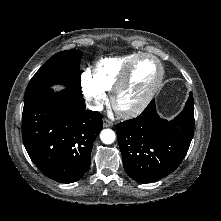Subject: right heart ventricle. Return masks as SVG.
I'll return each mask as SVG.
<instances>
[{
	"label": "right heart ventricle",
	"mask_w": 221,
	"mask_h": 221,
	"mask_svg": "<svg viewBox=\"0 0 221 221\" xmlns=\"http://www.w3.org/2000/svg\"><path fill=\"white\" fill-rule=\"evenodd\" d=\"M139 54L141 53H130L99 60L93 69L95 81L105 91L112 90L124 69Z\"/></svg>",
	"instance_id": "right-heart-ventricle-1"
}]
</instances>
